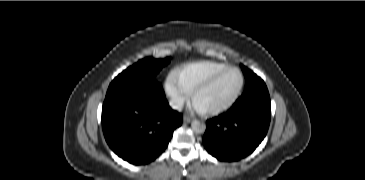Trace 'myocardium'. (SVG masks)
<instances>
[{
    "instance_id": "myocardium-1",
    "label": "myocardium",
    "mask_w": 365,
    "mask_h": 180,
    "mask_svg": "<svg viewBox=\"0 0 365 180\" xmlns=\"http://www.w3.org/2000/svg\"><path fill=\"white\" fill-rule=\"evenodd\" d=\"M230 70H235L240 74L241 82H240V86H239L237 92L235 93L233 98L229 102H227L226 104H224L222 106H219V107H216V108L203 110L202 113H205V114H208V115L221 114V113L229 110L230 108H232L237 103V101L239 100V98L242 95V92L244 90L246 79H245V75H244L243 71L237 66H228V67L218 71L217 73H215L211 77H209L205 82H203L196 89H194V91L191 93V98H192V101L195 102L196 96L201 91L208 88L217 78H219L221 75H223L224 73H226Z\"/></svg>"
}]
</instances>
